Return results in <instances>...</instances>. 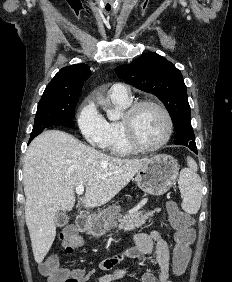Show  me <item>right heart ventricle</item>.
Segmentation results:
<instances>
[{
  "instance_id": "1",
  "label": "right heart ventricle",
  "mask_w": 232,
  "mask_h": 282,
  "mask_svg": "<svg viewBox=\"0 0 232 282\" xmlns=\"http://www.w3.org/2000/svg\"><path fill=\"white\" fill-rule=\"evenodd\" d=\"M115 105L121 109H127L131 105V100H123L112 98ZM108 123V140L106 149L114 155L125 156L132 154L135 150L129 145L126 140L122 120H112Z\"/></svg>"
}]
</instances>
